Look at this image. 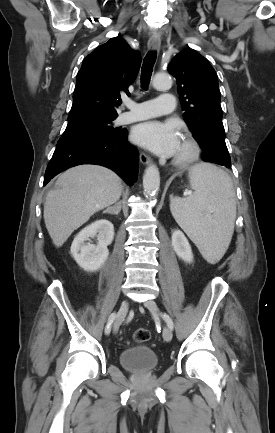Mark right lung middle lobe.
<instances>
[{
	"label": "right lung middle lobe",
	"mask_w": 275,
	"mask_h": 433,
	"mask_svg": "<svg viewBox=\"0 0 275 433\" xmlns=\"http://www.w3.org/2000/svg\"><path fill=\"white\" fill-rule=\"evenodd\" d=\"M117 116L85 115L68 118V125L61 138L71 136H89L106 138L121 133L110 124Z\"/></svg>",
	"instance_id": "1"
}]
</instances>
